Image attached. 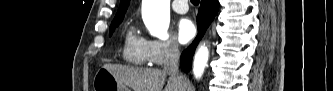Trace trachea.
<instances>
[{"instance_id": "obj_1", "label": "trachea", "mask_w": 333, "mask_h": 91, "mask_svg": "<svg viewBox=\"0 0 333 91\" xmlns=\"http://www.w3.org/2000/svg\"><path fill=\"white\" fill-rule=\"evenodd\" d=\"M192 3L196 4L199 0H191Z\"/></svg>"}]
</instances>
